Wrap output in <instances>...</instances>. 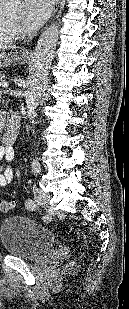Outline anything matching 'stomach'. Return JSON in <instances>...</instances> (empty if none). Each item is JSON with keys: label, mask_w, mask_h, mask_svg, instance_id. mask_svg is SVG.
I'll return each instance as SVG.
<instances>
[{"label": "stomach", "mask_w": 129, "mask_h": 309, "mask_svg": "<svg viewBox=\"0 0 129 309\" xmlns=\"http://www.w3.org/2000/svg\"><path fill=\"white\" fill-rule=\"evenodd\" d=\"M29 56L23 51L15 53L0 52V68L8 67L10 65L24 64L28 61Z\"/></svg>", "instance_id": "0dacf381"}]
</instances>
